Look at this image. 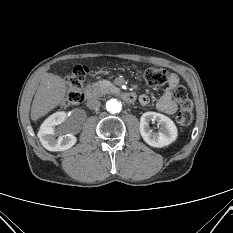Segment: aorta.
I'll list each match as a JSON object with an SVG mask.
<instances>
[{"label": "aorta", "instance_id": "obj_1", "mask_svg": "<svg viewBox=\"0 0 233 233\" xmlns=\"http://www.w3.org/2000/svg\"><path fill=\"white\" fill-rule=\"evenodd\" d=\"M106 109L110 113H117L121 110V103L118 102L116 99H110L106 103Z\"/></svg>", "mask_w": 233, "mask_h": 233}]
</instances>
